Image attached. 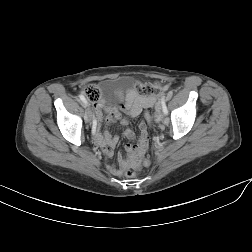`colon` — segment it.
Here are the masks:
<instances>
[{
	"label": "colon",
	"instance_id": "5ec220e1",
	"mask_svg": "<svg viewBox=\"0 0 252 252\" xmlns=\"http://www.w3.org/2000/svg\"><path fill=\"white\" fill-rule=\"evenodd\" d=\"M135 89L141 95H152L159 93L161 91V86L158 84L150 85L137 82L135 84ZM81 92L82 95L91 103L97 104L100 101L101 94L99 89L95 85H86L82 88ZM144 117L147 123L151 122V113L149 109L145 112ZM139 171L140 166H130L126 169L125 175L128 178H134L138 175Z\"/></svg>",
	"mask_w": 252,
	"mask_h": 252
}]
</instances>
